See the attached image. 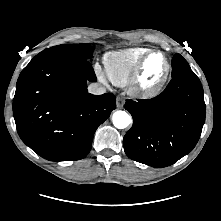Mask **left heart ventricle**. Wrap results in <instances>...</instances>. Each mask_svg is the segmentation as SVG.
<instances>
[{"label": "left heart ventricle", "instance_id": "1", "mask_svg": "<svg viewBox=\"0 0 221 221\" xmlns=\"http://www.w3.org/2000/svg\"><path fill=\"white\" fill-rule=\"evenodd\" d=\"M165 70V58L161 54L152 55L145 66L144 83L146 85H153L161 78Z\"/></svg>", "mask_w": 221, "mask_h": 221}]
</instances>
